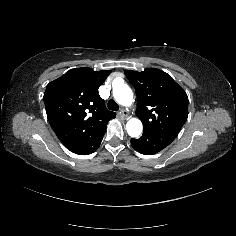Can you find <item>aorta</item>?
<instances>
[{
  "mask_svg": "<svg viewBox=\"0 0 236 236\" xmlns=\"http://www.w3.org/2000/svg\"><path fill=\"white\" fill-rule=\"evenodd\" d=\"M114 99L121 105H130L133 101V92L128 84L122 83L117 87H112ZM127 133L132 138H138L142 134V124L139 120L132 119L127 123Z\"/></svg>",
  "mask_w": 236,
  "mask_h": 236,
  "instance_id": "762f6f07",
  "label": "aorta"
}]
</instances>
